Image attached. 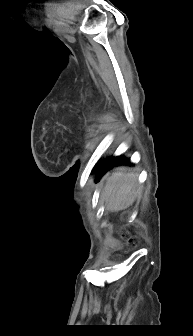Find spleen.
I'll return each mask as SVG.
<instances>
[{
	"instance_id": "obj_1",
	"label": "spleen",
	"mask_w": 193,
	"mask_h": 336,
	"mask_svg": "<svg viewBox=\"0 0 193 336\" xmlns=\"http://www.w3.org/2000/svg\"><path fill=\"white\" fill-rule=\"evenodd\" d=\"M137 176L119 168L108 178L105 186L104 200L111 211H121L131 206L140 194L137 187Z\"/></svg>"
}]
</instances>
